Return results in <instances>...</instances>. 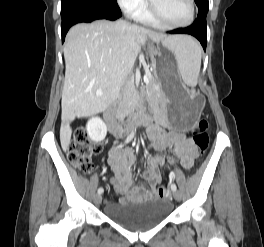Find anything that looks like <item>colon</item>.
<instances>
[{
	"instance_id": "1",
	"label": "colon",
	"mask_w": 264,
	"mask_h": 247,
	"mask_svg": "<svg viewBox=\"0 0 264 247\" xmlns=\"http://www.w3.org/2000/svg\"><path fill=\"white\" fill-rule=\"evenodd\" d=\"M193 141L198 147L200 153H204L208 148V122L206 119L197 121L193 128ZM100 151V146L90 140L83 132H79L71 142L68 149V159L70 163L82 172L91 171L92 157ZM156 195L159 198H165L169 195V190L166 186L156 188Z\"/></svg>"
}]
</instances>
